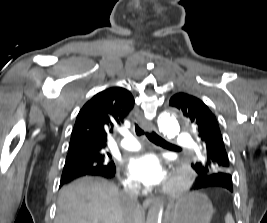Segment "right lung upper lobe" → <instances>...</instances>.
I'll use <instances>...</instances> for the list:
<instances>
[{"mask_svg":"<svg viewBox=\"0 0 267 223\" xmlns=\"http://www.w3.org/2000/svg\"><path fill=\"white\" fill-rule=\"evenodd\" d=\"M133 106L132 94L121 87H111L96 94L82 107L76 118L69 152L84 147L104 150L108 133L114 126L123 123Z\"/></svg>","mask_w":267,"mask_h":223,"instance_id":"1","label":"right lung upper lobe"}]
</instances>
